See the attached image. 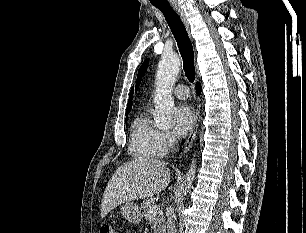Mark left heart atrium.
<instances>
[{
	"mask_svg": "<svg viewBox=\"0 0 306 233\" xmlns=\"http://www.w3.org/2000/svg\"><path fill=\"white\" fill-rule=\"evenodd\" d=\"M195 121L191 108L181 104L174 109L173 122L174 131L179 136H184L193 127Z\"/></svg>",
	"mask_w": 306,
	"mask_h": 233,
	"instance_id": "1",
	"label": "left heart atrium"
}]
</instances>
